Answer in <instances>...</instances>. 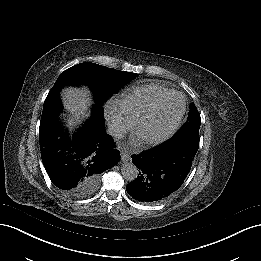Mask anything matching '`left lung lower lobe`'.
Wrapping results in <instances>:
<instances>
[{"label": "left lung lower lobe", "instance_id": "obj_1", "mask_svg": "<svg viewBox=\"0 0 261 261\" xmlns=\"http://www.w3.org/2000/svg\"><path fill=\"white\" fill-rule=\"evenodd\" d=\"M198 147L174 136L151 150L133 155L139 176L127 185V193L144 203L167 199L180 188L190 172Z\"/></svg>", "mask_w": 261, "mask_h": 261}]
</instances>
